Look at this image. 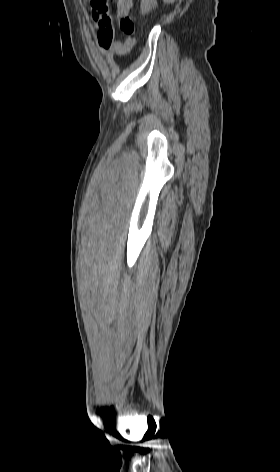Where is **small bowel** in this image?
<instances>
[{
  "instance_id": "1",
  "label": "small bowel",
  "mask_w": 280,
  "mask_h": 472,
  "mask_svg": "<svg viewBox=\"0 0 280 472\" xmlns=\"http://www.w3.org/2000/svg\"><path fill=\"white\" fill-rule=\"evenodd\" d=\"M132 4V0H117V14L120 16H128ZM97 27L98 44L105 51L112 52L115 55H123L130 48L127 38H125L124 42L114 39V28L111 21L105 26H101L97 23Z\"/></svg>"
}]
</instances>
